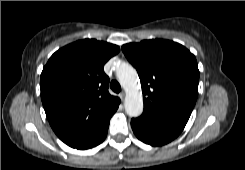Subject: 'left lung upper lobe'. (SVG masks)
<instances>
[{"mask_svg":"<svg viewBox=\"0 0 245 170\" xmlns=\"http://www.w3.org/2000/svg\"><path fill=\"white\" fill-rule=\"evenodd\" d=\"M141 80L144 110L187 123L198 96L195 56L179 43L153 39L122 46Z\"/></svg>","mask_w":245,"mask_h":170,"instance_id":"left-lung-upper-lobe-1","label":"left lung upper lobe"}]
</instances>
